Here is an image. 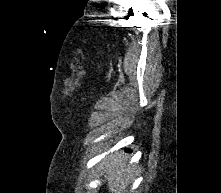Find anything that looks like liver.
Masks as SVG:
<instances>
[{"mask_svg": "<svg viewBox=\"0 0 221 193\" xmlns=\"http://www.w3.org/2000/svg\"><path fill=\"white\" fill-rule=\"evenodd\" d=\"M108 188L111 193H124L132 180L135 170L134 165L128 163V157L124 152H116L106 156L100 163Z\"/></svg>", "mask_w": 221, "mask_h": 193, "instance_id": "obj_1", "label": "liver"}]
</instances>
